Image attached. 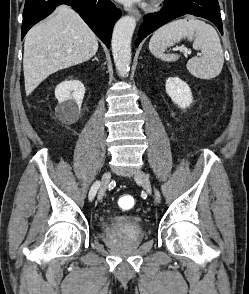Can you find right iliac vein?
Masks as SVG:
<instances>
[{
	"label": "right iliac vein",
	"instance_id": "right-iliac-vein-1",
	"mask_svg": "<svg viewBox=\"0 0 249 294\" xmlns=\"http://www.w3.org/2000/svg\"><path fill=\"white\" fill-rule=\"evenodd\" d=\"M110 179H111V173L109 171L105 172L102 176L101 187L98 192L99 201H102V199L104 198Z\"/></svg>",
	"mask_w": 249,
	"mask_h": 294
}]
</instances>
